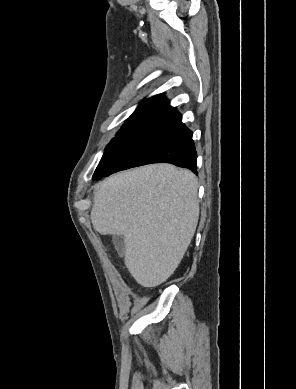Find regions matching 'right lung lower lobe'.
I'll use <instances>...</instances> for the list:
<instances>
[{
    "instance_id": "1",
    "label": "right lung lower lobe",
    "mask_w": 296,
    "mask_h": 389,
    "mask_svg": "<svg viewBox=\"0 0 296 389\" xmlns=\"http://www.w3.org/2000/svg\"><path fill=\"white\" fill-rule=\"evenodd\" d=\"M192 135V131L180 121L149 151L146 160L141 165L165 162L188 168L197 174V153ZM117 171L120 170L111 169L103 173H94L92 179L99 180L103 176H109Z\"/></svg>"
}]
</instances>
